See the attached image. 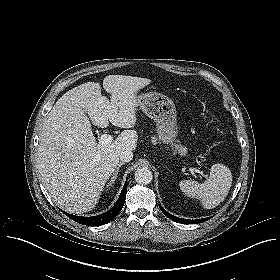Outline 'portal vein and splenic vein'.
<instances>
[{
  "instance_id": "1",
  "label": "portal vein and splenic vein",
  "mask_w": 280,
  "mask_h": 280,
  "mask_svg": "<svg viewBox=\"0 0 280 280\" xmlns=\"http://www.w3.org/2000/svg\"><path fill=\"white\" fill-rule=\"evenodd\" d=\"M113 141V137L107 133L102 134L99 141V146L104 144H109ZM189 171L194 175L195 173H202L199 169L196 168H189Z\"/></svg>"
}]
</instances>
